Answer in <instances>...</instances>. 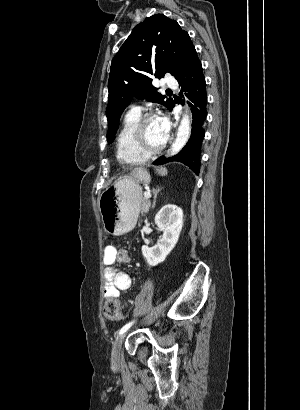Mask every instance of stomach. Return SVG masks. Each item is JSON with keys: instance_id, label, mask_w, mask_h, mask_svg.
Here are the masks:
<instances>
[{"instance_id": "1", "label": "stomach", "mask_w": 300, "mask_h": 410, "mask_svg": "<svg viewBox=\"0 0 300 410\" xmlns=\"http://www.w3.org/2000/svg\"><path fill=\"white\" fill-rule=\"evenodd\" d=\"M158 173L165 175L167 170L160 168ZM150 180L146 170L136 169L130 176L119 178L100 195L98 205L107 234L122 235L134 228L142 200L139 183H149Z\"/></svg>"}]
</instances>
